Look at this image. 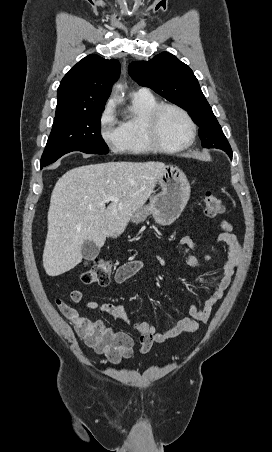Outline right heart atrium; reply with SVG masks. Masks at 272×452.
Instances as JSON below:
<instances>
[{"label":"right heart atrium","mask_w":272,"mask_h":452,"mask_svg":"<svg viewBox=\"0 0 272 452\" xmlns=\"http://www.w3.org/2000/svg\"><path fill=\"white\" fill-rule=\"evenodd\" d=\"M98 131L103 142L112 151L121 150L123 144L122 131L111 102L107 103L100 113Z\"/></svg>","instance_id":"obj_1"}]
</instances>
